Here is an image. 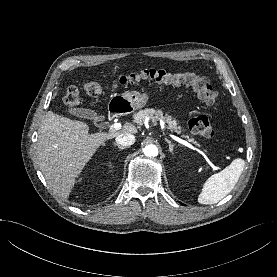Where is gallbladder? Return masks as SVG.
<instances>
[{
  "label": "gallbladder",
  "mask_w": 277,
  "mask_h": 277,
  "mask_svg": "<svg viewBox=\"0 0 277 277\" xmlns=\"http://www.w3.org/2000/svg\"><path fill=\"white\" fill-rule=\"evenodd\" d=\"M68 112L72 115H75L77 117L84 118V119H91L94 121L101 119V117L97 114V112L87 108H72V109H69Z\"/></svg>",
  "instance_id": "bac80fb5"
}]
</instances>
